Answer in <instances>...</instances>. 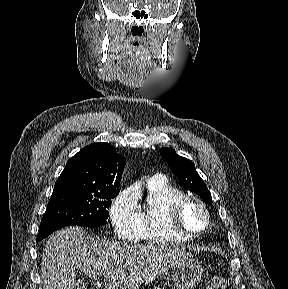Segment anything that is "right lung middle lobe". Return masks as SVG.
<instances>
[{
	"mask_svg": "<svg viewBox=\"0 0 288 289\" xmlns=\"http://www.w3.org/2000/svg\"><path fill=\"white\" fill-rule=\"evenodd\" d=\"M119 190L83 192L62 190L52 193L41 220L37 239L40 241L55 230L68 226L100 227L107 222L112 198Z\"/></svg>",
	"mask_w": 288,
	"mask_h": 289,
	"instance_id": "dd1d6c3e",
	"label": "right lung middle lobe"
}]
</instances>
